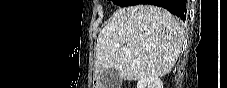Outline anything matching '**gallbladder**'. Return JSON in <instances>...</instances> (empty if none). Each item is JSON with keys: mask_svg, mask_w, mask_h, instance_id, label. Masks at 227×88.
I'll return each mask as SVG.
<instances>
[{"mask_svg": "<svg viewBox=\"0 0 227 88\" xmlns=\"http://www.w3.org/2000/svg\"><path fill=\"white\" fill-rule=\"evenodd\" d=\"M100 83L104 88H117L120 85L119 73L113 69H106L100 74Z\"/></svg>", "mask_w": 227, "mask_h": 88, "instance_id": "gallbladder-1", "label": "gallbladder"}]
</instances>
